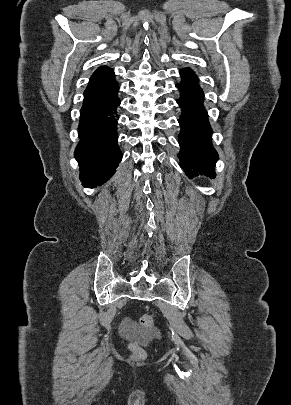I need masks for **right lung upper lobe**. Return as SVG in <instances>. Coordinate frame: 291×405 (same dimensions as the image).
<instances>
[{"mask_svg": "<svg viewBox=\"0 0 291 405\" xmlns=\"http://www.w3.org/2000/svg\"><path fill=\"white\" fill-rule=\"evenodd\" d=\"M111 73H113V70H112V69H110V68H108V67H106V66L99 67V68L94 72V74L91 76L90 81H91V80H94V79L101 78V77L106 76V75L111 74Z\"/></svg>", "mask_w": 291, "mask_h": 405, "instance_id": "1", "label": "right lung upper lobe"}]
</instances>
